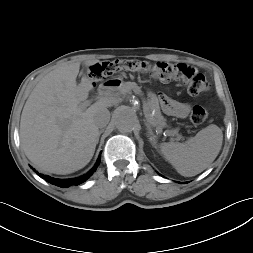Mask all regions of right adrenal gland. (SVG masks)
Returning a JSON list of instances; mask_svg holds the SVG:
<instances>
[{
    "mask_svg": "<svg viewBox=\"0 0 253 253\" xmlns=\"http://www.w3.org/2000/svg\"><path fill=\"white\" fill-rule=\"evenodd\" d=\"M102 132H103V130H100V131H99V136L101 135Z\"/></svg>",
    "mask_w": 253,
    "mask_h": 253,
    "instance_id": "1",
    "label": "right adrenal gland"
}]
</instances>
